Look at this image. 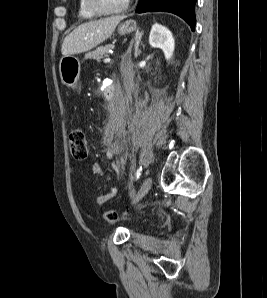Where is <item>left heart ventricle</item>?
Returning <instances> with one entry per match:
<instances>
[{
    "instance_id": "1",
    "label": "left heart ventricle",
    "mask_w": 267,
    "mask_h": 298,
    "mask_svg": "<svg viewBox=\"0 0 267 298\" xmlns=\"http://www.w3.org/2000/svg\"><path fill=\"white\" fill-rule=\"evenodd\" d=\"M99 5L108 11L120 8L126 0H97Z\"/></svg>"
}]
</instances>
